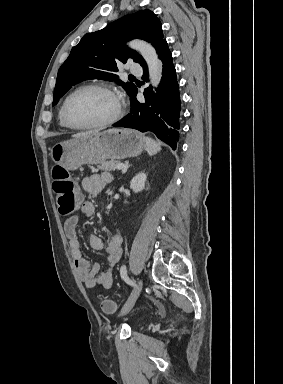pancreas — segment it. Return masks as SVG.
<instances>
[{"mask_svg":"<svg viewBox=\"0 0 283 384\" xmlns=\"http://www.w3.org/2000/svg\"><path fill=\"white\" fill-rule=\"evenodd\" d=\"M118 164L121 162H115V160H110V162H101L100 166H97L98 170H103V172H113V170H117Z\"/></svg>","mask_w":283,"mask_h":384,"instance_id":"obj_1","label":"pancreas"}]
</instances>
